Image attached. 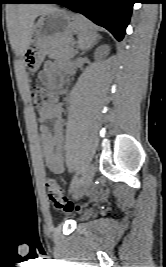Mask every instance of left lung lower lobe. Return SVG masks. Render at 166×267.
Returning <instances> with one entry per match:
<instances>
[{"label": "left lung lower lobe", "mask_w": 166, "mask_h": 267, "mask_svg": "<svg viewBox=\"0 0 166 267\" xmlns=\"http://www.w3.org/2000/svg\"><path fill=\"white\" fill-rule=\"evenodd\" d=\"M33 3L65 6L106 28L121 41L129 24L134 0H36Z\"/></svg>", "instance_id": "left-lung-lower-lobe-1"}]
</instances>
